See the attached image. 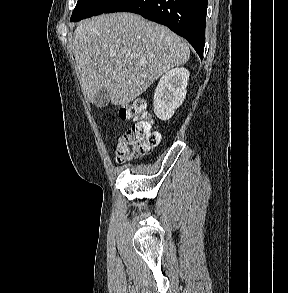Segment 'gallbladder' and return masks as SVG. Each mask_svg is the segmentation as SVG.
<instances>
[{"mask_svg":"<svg viewBox=\"0 0 288 293\" xmlns=\"http://www.w3.org/2000/svg\"><path fill=\"white\" fill-rule=\"evenodd\" d=\"M109 93L106 88L97 91L93 103L98 108L106 107L109 104Z\"/></svg>","mask_w":288,"mask_h":293,"instance_id":"obj_1","label":"gallbladder"}]
</instances>
